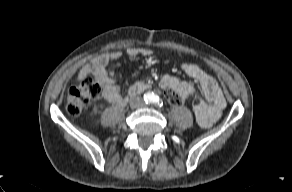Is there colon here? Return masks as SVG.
<instances>
[{"label":"colon","instance_id":"1","mask_svg":"<svg viewBox=\"0 0 292 192\" xmlns=\"http://www.w3.org/2000/svg\"><path fill=\"white\" fill-rule=\"evenodd\" d=\"M104 88V82L98 76L86 77L78 86L70 88L67 94L66 110L72 116L82 113L91 99L97 98ZM168 101L173 105H181L185 101L196 104L200 101L199 96L192 92L186 97H181L176 93L166 94Z\"/></svg>","mask_w":292,"mask_h":192}]
</instances>
